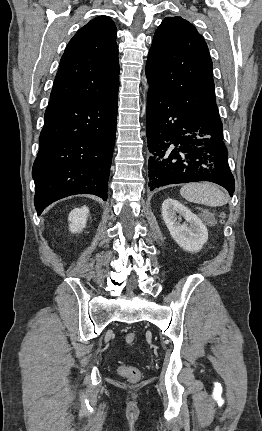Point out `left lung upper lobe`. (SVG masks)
Instances as JSON below:
<instances>
[{
  "label": "left lung upper lobe",
  "instance_id": "5c2ea615",
  "mask_svg": "<svg viewBox=\"0 0 262 431\" xmlns=\"http://www.w3.org/2000/svg\"><path fill=\"white\" fill-rule=\"evenodd\" d=\"M212 69L207 44L196 28L181 17H166L148 54L150 86L187 109L200 123L221 126Z\"/></svg>",
  "mask_w": 262,
  "mask_h": 431
}]
</instances>
